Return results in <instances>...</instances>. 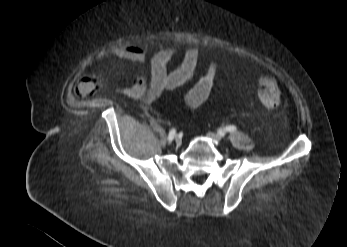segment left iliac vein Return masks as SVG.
<instances>
[{
  "label": "left iliac vein",
  "mask_w": 347,
  "mask_h": 247,
  "mask_svg": "<svg viewBox=\"0 0 347 247\" xmlns=\"http://www.w3.org/2000/svg\"><path fill=\"white\" fill-rule=\"evenodd\" d=\"M207 136L215 141H221L222 137L214 132H208Z\"/></svg>",
  "instance_id": "left-iliac-vein-1"
}]
</instances>
